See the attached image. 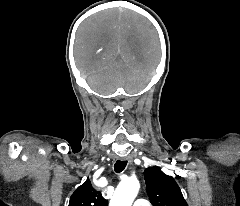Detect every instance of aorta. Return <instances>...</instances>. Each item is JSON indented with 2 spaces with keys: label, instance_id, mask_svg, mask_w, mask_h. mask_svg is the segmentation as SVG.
<instances>
[{
  "label": "aorta",
  "instance_id": "762f6f07",
  "mask_svg": "<svg viewBox=\"0 0 240 206\" xmlns=\"http://www.w3.org/2000/svg\"><path fill=\"white\" fill-rule=\"evenodd\" d=\"M139 189V181L135 178L121 181L110 200L109 206H132Z\"/></svg>",
  "mask_w": 240,
  "mask_h": 206
}]
</instances>
